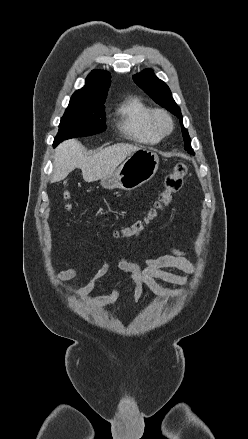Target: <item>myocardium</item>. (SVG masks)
<instances>
[{
    "instance_id": "myocardium-1",
    "label": "myocardium",
    "mask_w": 248,
    "mask_h": 439,
    "mask_svg": "<svg viewBox=\"0 0 248 439\" xmlns=\"http://www.w3.org/2000/svg\"><path fill=\"white\" fill-rule=\"evenodd\" d=\"M152 123L155 130L162 136L168 135L174 128L172 116L164 109H156L153 111Z\"/></svg>"
}]
</instances>
